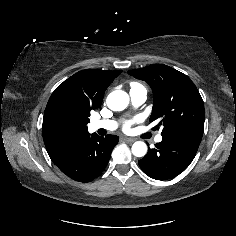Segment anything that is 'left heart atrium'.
<instances>
[{
    "instance_id": "obj_1",
    "label": "left heart atrium",
    "mask_w": 236,
    "mask_h": 236,
    "mask_svg": "<svg viewBox=\"0 0 236 236\" xmlns=\"http://www.w3.org/2000/svg\"><path fill=\"white\" fill-rule=\"evenodd\" d=\"M134 121L135 120H126L123 124V129L126 131L129 130Z\"/></svg>"
}]
</instances>
